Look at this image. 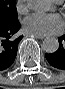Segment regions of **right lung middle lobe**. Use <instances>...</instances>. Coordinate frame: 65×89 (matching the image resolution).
Segmentation results:
<instances>
[{
    "label": "right lung middle lobe",
    "instance_id": "obj_1",
    "mask_svg": "<svg viewBox=\"0 0 65 89\" xmlns=\"http://www.w3.org/2000/svg\"><path fill=\"white\" fill-rule=\"evenodd\" d=\"M16 0H0V24H10L18 22Z\"/></svg>",
    "mask_w": 65,
    "mask_h": 89
}]
</instances>
